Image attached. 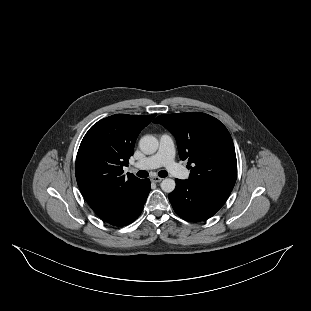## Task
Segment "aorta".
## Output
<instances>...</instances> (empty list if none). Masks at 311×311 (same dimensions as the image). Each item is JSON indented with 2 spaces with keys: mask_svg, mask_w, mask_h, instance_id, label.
<instances>
[{
  "mask_svg": "<svg viewBox=\"0 0 311 311\" xmlns=\"http://www.w3.org/2000/svg\"><path fill=\"white\" fill-rule=\"evenodd\" d=\"M159 146V142L153 135H145L139 141L140 150L147 155L154 154ZM175 181L170 178H165L161 182V189L164 192L170 193L175 189Z\"/></svg>",
  "mask_w": 311,
  "mask_h": 311,
  "instance_id": "obj_1",
  "label": "aorta"
}]
</instances>
